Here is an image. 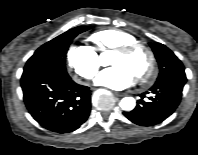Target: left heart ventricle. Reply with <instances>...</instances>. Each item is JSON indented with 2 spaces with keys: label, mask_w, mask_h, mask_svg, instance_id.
<instances>
[{
  "label": "left heart ventricle",
  "mask_w": 198,
  "mask_h": 155,
  "mask_svg": "<svg viewBox=\"0 0 198 155\" xmlns=\"http://www.w3.org/2000/svg\"><path fill=\"white\" fill-rule=\"evenodd\" d=\"M147 54L139 49L129 54L115 52L112 59V65H123L127 67L135 77L145 72L148 67Z\"/></svg>",
  "instance_id": "left-heart-ventricle-1"
}]
</instances>
